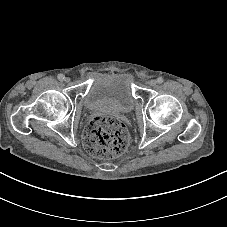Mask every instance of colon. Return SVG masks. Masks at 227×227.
Masks as SVG:
<instances>
[{
	"instance_id": "colon-1",
	"label": "colon",
	"mask_w": 227,
	"mask_h": 227,
	"mask_svg": "<svg viewBox=\"0 0 227 227\" xmlns=\"http://www.w3.org/2000/svg\"><path fill=\"white\" fill-rule=\"evenodd\" d=\"M129 135L125 125L110 116L93 118L84 134L87 151L101 158H115L128 146Z\"/></svg>"
}]
</instances>
